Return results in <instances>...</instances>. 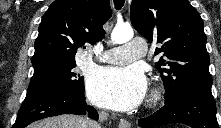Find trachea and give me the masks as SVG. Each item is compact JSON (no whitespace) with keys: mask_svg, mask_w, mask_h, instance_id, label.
Returning a JSON list of instances; mask_svg holds the SVG:
<instances>
[{"mask_svg":"<svg viewBox=\"0 0 221 128\" xmlns=\"http://www.w3.org/2000/svg\"><path fill=\"white\" fill-rule=\"evenodd\" d=\"M125 3V0H114V5L117 10H120Z\"/></svg>","mask_w":221,"mask_h":128,"instance_id":"trachea-1","label":"trachea"}]
</instances>
